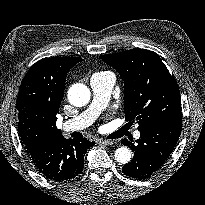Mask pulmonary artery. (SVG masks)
<instances>
[{
    "label": "pulmonary artery",
    "instance_id": "1",
    "mask_svg": "<svg viewBox=\"0 0 205 205\" xmlns=\"http://www.w3.org/2000/svg\"><path fill=\"white\" fill-rule=\"evenodd\" d=\"M115 80V75L111 72L93 74L90 78V87L93 93L92 102L82 113L73 119L63 122V131L82 130L90 126L100 113L107 108ZM134 136L139 138L140 132L135 131Z\"/></svg>",
    "mask_w": 205,
    "mask_h": 205
}]
</instances>
